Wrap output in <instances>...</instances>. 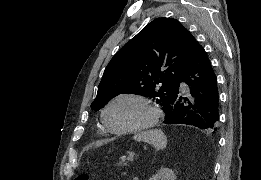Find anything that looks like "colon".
Wrapping results in <instances>:
<instances>
[{"instance_id":"5ec220e1","label":"colon","mask_w":261,"mask_h":180,"mask_svg":"<svg viewBox=\"0 0 261 180\" xmlns=\"http://www.w3.org/2000/svg\"><path fill=\"white\" fill-rule=\"evenodd\" d=\"M76 180H89V175L87 173H79L76 176Z\"/></svg>"}]
</instances>
